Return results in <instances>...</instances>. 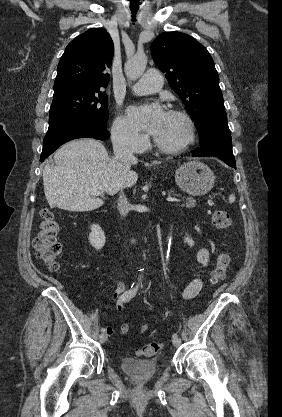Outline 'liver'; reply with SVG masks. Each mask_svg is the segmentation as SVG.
Returning a JSON list of instances; mask_svg holds the SVG:
<instances>
[{
  "mask_svg": "<svg viewBox=\"0 0 282 417\" xmlns=\"http://www.w3.org/2000/svg\"><path fill=\"white\" fill-rule=\"evenodd\" d=\"M53 164L43 170L44 192L50 209L65 211H94L104 200L92 196L94 190L116 194L118 190L133 186L138 174L126 172L124 166L109 158L108 152L94 138L70 140L54 154Z\"/></svg>",
  "mask_w": 282,
  "mask_h": 417,
  "instance_id": "obj_1",
  "label": "liver"
}]
</instances>
